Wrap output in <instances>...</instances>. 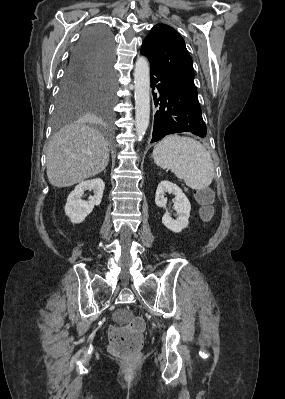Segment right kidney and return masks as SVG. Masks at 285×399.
Listing matches in <instances>:
<instances>
[{
    "label": "right kidney",
    "instance_id": "right-kidney-1",
    "mask_svg": "<svg viewBox=\"0 0 285 399\" xmlns=\"http://www.w3.org/2000/svg\"><path fill=\"white\" fill-rule=\"evenodd\" d=\"M104 188L105 183L100 178L83 181L75 187L69 194L65 205V214L72 223L83 222L92 212L94 206L100 205ZM86 190H93L94 192V196H90L88 201L82 200Z\"/></svg>",
    "mask_w": 285,
    "mask_h": 399
}]
</instances>
